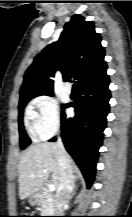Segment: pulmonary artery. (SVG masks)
I'll return each instance as SVG.
<instances>
[{"label":"pulmonary artery","mask_w":132,"mask_h":217,"mask_svg":"<svg viewBox=\"0 0 132 217\" xmlns=\"http://www.w3.org/2000/svg\"><path fill=\"white\" fill-rule=\"evenodd\" d=\"M65 92H66L67 94H71L72 88H71V85H70V84H67V85L65 86Z\"/></svg>","instance_id":"1"}]
</instances>
